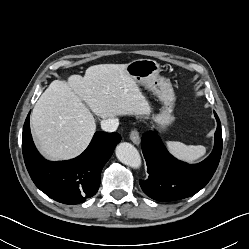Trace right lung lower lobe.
I'll return each instance as SVG.
<instances>
[{
    "label": "right lung lower lobe",
    "instance_id": "98d812e1",
    "mask_svg": "<svg viewBox=\"0 0 249 249\" xmlns=\"http://www.w3.org/2000/svg\"><path fill=\"white\" fill-rule=\"evenodd\" d=\"M120 140L116 132L98 131L80 156L68 161H47L35 148L28 115L23 127L22 151L30 177L42 192L58 202L77 204L95 195L102 168Z\"/></svg>",
    "mask_w": 249,
    "mask_h": 249
}]
</instances>
